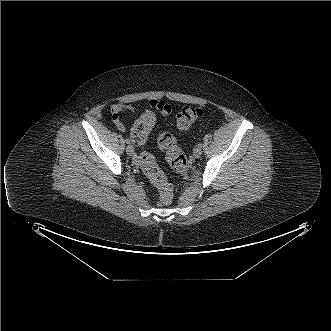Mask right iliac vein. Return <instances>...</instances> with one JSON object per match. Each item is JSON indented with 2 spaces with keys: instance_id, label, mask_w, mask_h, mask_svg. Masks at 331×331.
<instances>
[{
  "instance_id": "1",
  "label": "right iliac vein",
  "mask_w": 331,
  "mask_h": 331,
  "mask_svg": "<svg viewBox=\"0 0 331 331\" xmlns=\"http://www.w3.org/2000/svg\"><path fill=\"white\" fill-rule=\"evenodd\" d=\"M126 152L128 155L132 156L135 153L134 147L132 145H128L126 148Z\"/></svg>"
}]
</instances>
